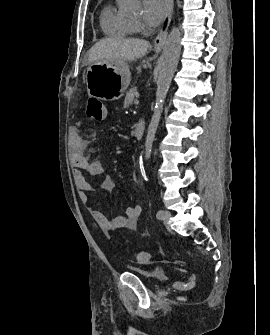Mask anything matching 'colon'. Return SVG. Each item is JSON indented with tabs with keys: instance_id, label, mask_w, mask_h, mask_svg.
<instances>
[{
	"instance_id": "5ec220e1",
	"label": "colon",
	"mask_w": 270,
	"mask_h": 335,
	"mask_svg": "<svg viewBox=\"0 0 270 335\" xmlns=\"http://www.w3.org/2000/svg\"><path fill=\"white\" fill-rule=\"evenodd\" d=\"M106 107L102 99L98 97H90L88 105L85 109V116L88 121L100 123L106 116ZM133 259L138 264H149L151 255L148 251L137 250L133 253Z\"/></svg>"
}]
</instances>
